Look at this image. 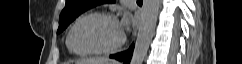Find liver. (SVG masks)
Wrapping results in <instances>:
<instances>
[{
    "instance_id": "6515ba94",
    "label": "liver",
    "mask_w": 242,
    "mask_h": 64,
    "mask_svg": "<svg viewBox=\"0 0 242 64\" xmlns=\"http://www.w3.org/2000/svg\"><path fill=\"white\" fill-rule=\"evenodd\" d=\"M81 63L85 64H119L117 61L109 60L107 58H92L81 61Z\"/></svg>"
}]
</instances>
